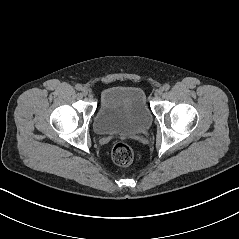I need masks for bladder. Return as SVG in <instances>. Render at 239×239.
<instances>
[{
  "label": "bladder",
  "mask_w": 239,
  "mask_h": 239,
  "mask_svg": "<svg viewBox=\"0 0 239 239\" xmlns=\"http://www.w3.org/2000/svg\"><path fill=\"white\" fill-rule=\"evenodd\" d=\"M151 123L144 91L138 86H115L102 93L93 127L98 135H142Z\"/></svg>",
  "instance_id": "obj_1"
}]
</instances>
